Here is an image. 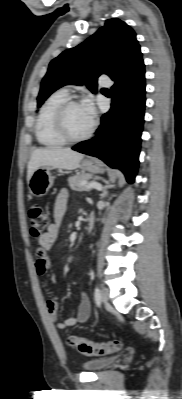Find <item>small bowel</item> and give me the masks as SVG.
I'll return each instance as SVG.
<instances>
[{
  "label": "small bowel",
  "mask_w": 182,
  "mask_h": 399,
  "mask_svg": "<svg viewBox=\"0 0 182 399\" xmlns=\"http://www.w3.org/2000/svg\"><path fill=\"white\" fill-rule=\"evenodd\" d=\"M69 200L68 190H62L56 197L54 208H53V223L49 226L48 230L39 237L38 248L36 251L35 270L38 276H45L52 268V261L49 255L50 250L55 244L58 235L60 224L66 213L67 204ZM52 281L56 283L55 276H52ZM47 294H51L50 290H47ZM58 300L56 297H51L46 302L47 311L58 329H67L77 323L87 321L91 316L90 301L86 294H82L80 304L78 306V312L75 317L59 321L58 311Z\"/></svg>",
  "instance_id": "c3829d8e"
}]
</instances>
